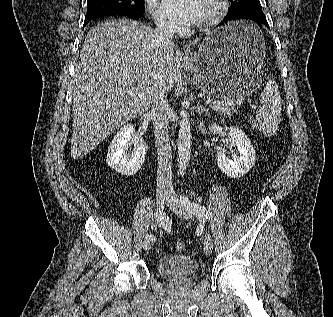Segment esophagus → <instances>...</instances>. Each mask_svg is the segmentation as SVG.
<instances>
[{
  "label": "esophagus",
  "instance_id": "esophagus-1",
  "mask_svg": "<svg viewBox=\"0 0 333 317\" xmlns=\"http://www.w3.org/2000/svg\"><path fill=\"white\" fill-rule=\"evenodd\" d=\"M179 57L182 58V59H187L188 58V52L187 51L179 52Z\"/></svg>",
  "mask_w": 333,
  "mask_h": 317
}]
</instances>
